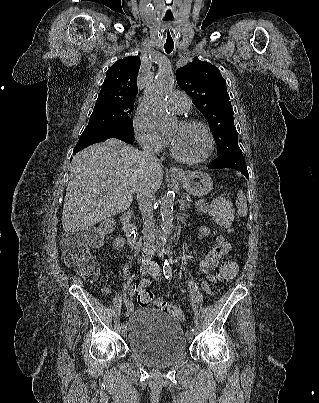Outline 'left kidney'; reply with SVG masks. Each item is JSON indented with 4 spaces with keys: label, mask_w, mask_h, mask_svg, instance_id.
Returning <instances> with one entry per match:
<instances>
[{
    "label": "left kidney",
    "mask_w": 319,
    "mask_h": 403,
    "mask_svg": "<svg viewBox=\"0 0 319 403\" xmlns=\"http://www.w3.org/2000/svg\"><path fill=\"white\" fill-rule=\"evenodd\" d=\"M210 234V230L207 227H201L199 229V238L202 239L203 236H208Z\"/></svg>",
    "instance_id": "obj_1"
}]
</instances>
